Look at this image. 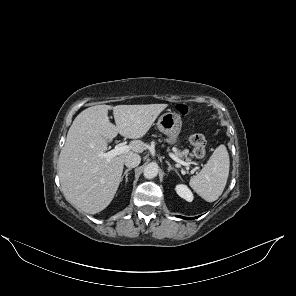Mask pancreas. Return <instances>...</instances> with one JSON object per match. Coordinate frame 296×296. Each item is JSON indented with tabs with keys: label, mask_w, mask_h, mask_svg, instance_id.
I'll return each mask as SVG.
<instances>
[{
	"label": "pancreas",
	"mask_w": 296,
	"mask_h": 296,
	"mask_svg": "<svg viewBox=\"0 0 296 296\" xmlns=\"http://www.w3.org/2000/svg\"><path fill=\"white\" fill-rule=\"evenodd\" d=\"M176 156H178V157H180V158H182V157H187V155L189 154V152H188V150H183V151H176Z\"/></svg>",
	"instance_id": "1"
}]
</instances>
